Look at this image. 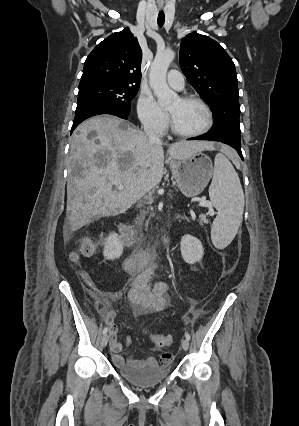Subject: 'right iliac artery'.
<instances>
[{
	"label": "right iliac artery",
	"instance_id": "82829eb1",
	"mask_svg": "<svg viewBox=\"0 0 299 426\" xmlns=\"http://www.w3.org/2000/svg\"><path fill=\"white\" fill-rule=\"evenodd\" d=\"M107 332H108V328H107V327H105V328L103 329V334L105 335V334H107Z\"/></svg>",
	"mask_w": 299,
	"mask_h": 426
}]
</instances>
